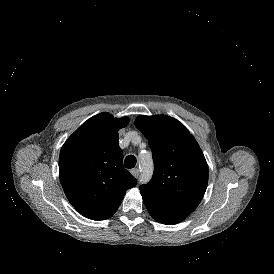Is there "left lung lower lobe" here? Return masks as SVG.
Here are the masks:
<instances>
[{
	"label": "left lung lower lobe",
	"instance_id": "left-lung-lower-lobe-1",
	"mask_svg": "<svg viewBox=\"0 0 274 274\" xmlns=\"http://www.w3.org/2000/svg\"><path fill=\"white\" fill-rule=\"evenodd\" d=\"M144 204L149 214L158 222L163 224H176L185 219L190 213L173 208L150 195L141 193Z\"/></svg>",
	"mask_w": 274,
	"mask_h": 274
}]
</instances>
